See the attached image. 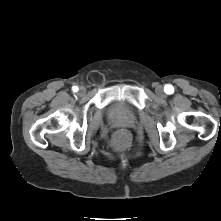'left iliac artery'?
I'll use <instances>...</instances> for the list:
<instances>
[{
    "label": "left iliac artery",
    "mask_w": 221,
    "mask_h": 221,
    "mask_svg": "<svg viewBox=\"0 0 221 221\" xmlns=\"http://www.w3.org/2000/svg\"><path fill=\"white\" fill-rule=\"evenodd\" d=\"M164 91H165L166 94H172L174 92V88H173L172 85L167 84L164 87Z\"/></svg>",
    "instance_id": "44dca946"
}]
</instances>
